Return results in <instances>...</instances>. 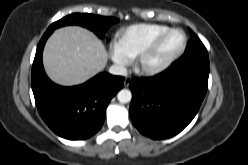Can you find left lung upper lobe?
Wrapping results in <instances>:
<instances>
[{
  "mask_svg": "<svg viewBox=\"0 0 248 165\" xmlns=\"http://www.w3.org/2000/svg\"><path fill=\"white\" fill-rule=\"evenodd\" d=\"M189 32L191 34V40L188 42L185 52H189L195 48L205 47L199 37L191 29H189Z\"/></svg>",
  "mask_w": 248,
  "mask_h": 165,
  "instance_id": "obj_1",
  "label": "left lung upper lobe"
}]
</instances>
